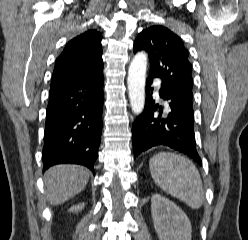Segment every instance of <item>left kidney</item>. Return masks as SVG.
Masks as SVG:
<instances>
[{"label":"left kidney","mask_w":248,"mask_h":240,"mask_svg":"<svg viewBox=\"0 0 248 240\" xmlns=\"http://www.w3.org/2000/svg\"><path fill=\"white\" fill-rule=\"evenodd\" d=\"M151 213L159 240H191V223L175 203L154 194L151 198Z\"/></svg>","instance_id":"5707ae66"}]
</instances>
